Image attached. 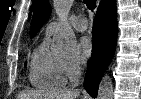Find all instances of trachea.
<instances>
[{"label":"trachea","mask_w":141,"mask_h":99,"mask_svg":"<svg viewBox=\"0 0 141 99\" xmlns=\"http://www.w3.org/2000/svg\"><path fill=\"white\" fill-rule=\"evenodd\" d=\"M84 3L89 10H94L96 8V0H84Z\"/></svg>","instance_id":"obj_1"}]
</instances>
